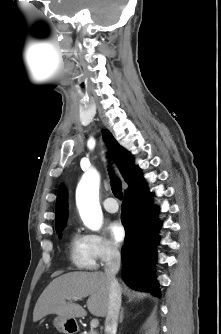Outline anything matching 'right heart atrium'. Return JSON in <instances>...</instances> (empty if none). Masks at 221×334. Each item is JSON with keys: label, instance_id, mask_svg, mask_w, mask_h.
Returning <instances> with one entry per match:
<instances>
[{"label": "right heart atrium", "instance_id": "right-heart-atrium-1", "mask_svg": "<svg viewBox=\"0 0 221 334\" xmlns=\"http://www.w3.org/2000/svg\"><path fill=\"white\" fill-rule=\"evenodd\" d=\"M97 262L104 264L119 254L118 247L101 234L88 235Z\"/></svg>", "mask_w": 221, "mask_h": 334}]
</instances>
